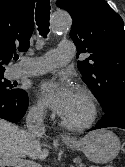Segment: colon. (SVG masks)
Returning <instances> with one entry per match:
<instances>
[{"mask_svg":"<svg viewBox=\"0 0 125 167\" xmlns=\"http://www.w3.org/2000/svg\"><path fill=\"white\" fill-rule=\"evenodd\" d=\"M122 151L125 154V142L123 143Z\"/></svg>","mask_w":125,"mask_h":167,"instance_id":"obj_1","label":"colon"}]
</instances>
